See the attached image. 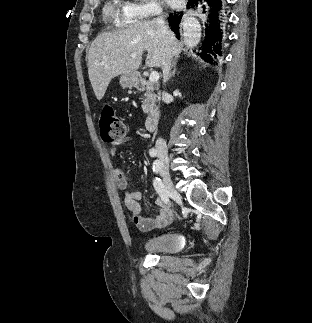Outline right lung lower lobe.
Here are the masks:
<instances>
[{
    "label": "right lung lower lobe",
    "mask_w": 312,
    "mask_h": 323,
    "mask_svg": "<svg viewBox=\"0 0 312 323\" xmlns=\"http://www.w3.org/2000/svg\"><path fill=\"white\" fill-rule=\"evenodd\" d=\"M228 4L222 0H190L187 8L196 11L202 19L201 25V47L199 54L208 62L213 63L217 55L221 56L224 33L226 31V17ZM186 14L183 11L173 12L168 21L172 31L180 37V30L187 23Z\"/></svg>",
    "instance_id": "98d812e1"
}]
</instances>
